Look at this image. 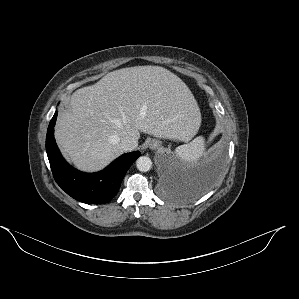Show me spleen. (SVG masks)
<instances>
[{"label": "spleen", "instance_id": "obj_1", "mask_svg": "<svg viewBox=\"0 0 299 299\" xmlns=\"http://www.w3.org/2000/svg\"><path fill=\"white\" fill-rule=\"evenodd\" d=\"M176 155L188 164H196L206 153V142L203 137H197L188 144L175 149Z\"/></svg>", "mask_w": 299, "mask_h": 299}]
</instances>
